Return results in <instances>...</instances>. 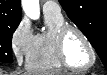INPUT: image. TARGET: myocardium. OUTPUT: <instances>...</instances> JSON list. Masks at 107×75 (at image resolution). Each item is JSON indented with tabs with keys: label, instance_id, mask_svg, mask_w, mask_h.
<instances>
[{
	"label": "myocardium",
	"instance_id": "1",
	"mask_svg": "<svg viewBox=\"0 0 107 75\" xmlns=\"http://www.w3.org/2000/svg\"><path fill=\"white\" fill-rule=\"evenodd\" d=\"M70 32L77 33L84 40L87 47L89 48V51L91 54V61L85 66H81V67L74 66L68 61V59L66 57L65 39ZM55 50H56V57H57L59 63L64 68L72 70V71H76V72L87 71V70L91 69L96 63L97 54H96V50H95L92 42L81 29H79L78 27L72 26V25H64L57 31L56 36H55Z\"/></svg>",
	"mask_w": 107,
	"mask_h": 75
}]
</instances>
